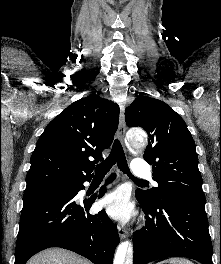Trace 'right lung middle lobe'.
Wrapping results in <instances>:
<instances>
[{"label": "right lung middle lobe", "mask_w": 221, "mask_h": 264, "mask_svg": "<svg viewBox=\"0 0 221 264\" xmlns=\"http://www.w3.org/2000/svg\"><path fill=\"white\" fill-rule=\"evenodd\" d=\"M79 185L80 183L75 182L49 183L32 189H26L24 197L38 194H72L79 188Z\"/></svg>", "instance_id": "1"}]
</instances>
